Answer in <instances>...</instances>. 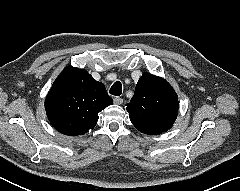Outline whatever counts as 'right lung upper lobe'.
Wrapping results in <instances>:
<instances>
[{"instance_id":"obj_1","label":"right lung upper lobe","mask_w":240,"mask_h":191,"mask_svg":"<svg viewBox=\"0 0 240 191\" xmlns=\"http://www.w3.org/2000/svg\"><path fill=\"white\" fill-rule=\"evenodd\" d=\"M113 104L103 83L84 69L67 66L54 81L45 100L52 126L68 136L93 129L98 113Z\"/></svg>"}]
</instances>
